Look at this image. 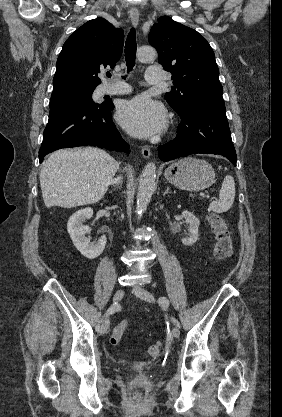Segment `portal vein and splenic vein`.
<instances>
[{
	"label": "portal vein and splenic vein",
	"instance_id": "1",
	"mask_svg": "<svg viewBox=\"0 0 282 417\" xmlns=\"http://www.w3.org/2000/svg\"><path fill=\"white\" fill-rule=\"evenodd\" d=\"M200 196H202V197H206L207 196L208 200H211V201H214L215 200V197L212 194H209V193H206V192L200 193Z\"/></svg>",
	"mask_w": 282,
	"mask_h": 417
}]
</instances>
